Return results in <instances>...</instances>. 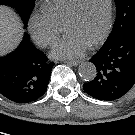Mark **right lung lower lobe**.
<instances>
[{"label":"right lung lower lobe","mask_w":135,"mask_h":135,"mask_svg":"<svg viewBox=\"0 0 135 135\" xmlns=\"http://www.w3.org/2000/svg\"><path fill=\"white\" fill-rule=\"evenodd\" d=\"M53 65L25 33L15 51L0 58V93L16 103L37 100L46 92Z\"/></svg>","instance_id":"obj_1"}]
</instances>
